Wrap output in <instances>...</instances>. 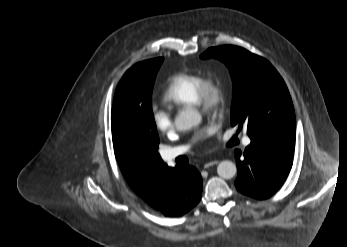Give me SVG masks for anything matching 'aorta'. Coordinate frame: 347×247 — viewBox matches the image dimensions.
I'll list each match as a JSON object with an SVG mask.
<instances>
[{
    "label": "aorta",
    "mask_w": 347,
    "mask_h": 247,
    "mask_svg": "<svg viewBox=\"0 0 347 247\" xmlns=\"http://www.w3.org/2000/svg\"><path fill=\"white\" fill-rule=\"evenodd\" d=\"M201 114L193 109H187L178 114L175 119V127L179 131H186L201 122ZM237 167L229 160L221 161L217 167V173L221 178L231 179L235 176Z\"/></svg>",
    "instance_id": "1"
}]
</instances>
